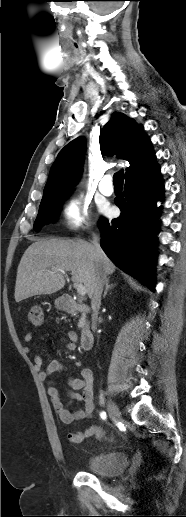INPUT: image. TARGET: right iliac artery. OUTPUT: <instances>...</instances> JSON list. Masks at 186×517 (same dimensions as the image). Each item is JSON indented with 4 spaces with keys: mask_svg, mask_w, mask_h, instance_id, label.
Segmentation results:
<instances>
[{
    "mask_svg": "<svg viewBox=\"0 0 186 517\" xmlns=\"http://www.w3.org/2000/svg\"><path fill=\"white\" fill-rule=\"evenodd\" d=\"M100 417H101L103 420H106V419H107L106 412L102 411V412L100 413Z\"/></svg>",
    "mask_w": 186,
    "mask_h": 517,
    "instance_id": "82829eb1",
    "label": "right iliac artery"
}]
</instances>
